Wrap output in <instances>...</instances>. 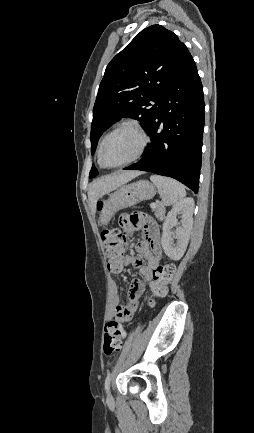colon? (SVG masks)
I'll return each mask as SVG.
<instances>
[{
  "mask_svg": "<svg viewBox=\"0 0 254 433\" xmlns=\"http://www.w3.org/2000/svg\"><path fill=\"white\" fill-rule=\"evenodd\" d=\"M101 205L100 203L98 206L101 207ZM127 220L131 225H138L145 222L143 214L138 211L129 213ZM119 223L123 227V223L120 219ZM102 239L109 265L111 267L118 265L124 256L125 238L121 234V231L116 228L105 229L102 232ZM175 271L176 268L171 263L161 265L156 269L154 275L156 288L153 291L155 296L161 297L165 295V286L172 281ZM125 336L126 331L121 323L114 319L107 321L104 327V353L110 355L119 351Z\"/></svg>",
  "mask_w": 254,
  "mask_h": 433,
  "instance_id": "1",
  "label": "colon"
}]
</instances>
